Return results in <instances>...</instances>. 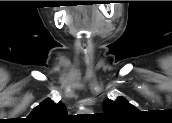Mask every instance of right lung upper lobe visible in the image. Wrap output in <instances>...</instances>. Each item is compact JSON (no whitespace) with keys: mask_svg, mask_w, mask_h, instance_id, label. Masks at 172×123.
<instances>
[{"mask_svg":"<svg viewBox=\"0 0 172 123\" xmlns=\"http://www.w3.org/2000/svg\"><path fill=\"white\" fill-rule=\"evenodd\" d=\"M66 113L62 102L54 103L51 99H46L35 107L26 119L30 123H56L64 120Z\"/></svg>","mask_w":172,"mask_h":123,"instance_id":"right-lung-upper-lobe-1","label":"right lung upper lobe"}]
</instances>
